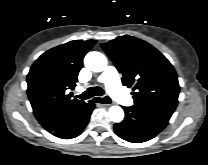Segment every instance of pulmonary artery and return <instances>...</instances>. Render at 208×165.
<instances>
[{"label": "pulmonary artery", "instance_id": "e3ab8cb5", "mask_svg": "<svg viewBox=\"0 0 208 165\" xmlns=\"http://www.w3.org/2000/svg\"><path fill=\"white\" fill-rule=\"evenodd\" d=\"M99 81L106 85L110 95L118 102L122 104H128L132 102L131 97L123 90L118 72L114 67H107L100 75Z\"/></svg>", "mask_w": 208, "mask_h": 165}]
</instances>
